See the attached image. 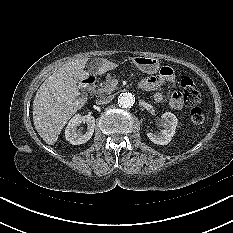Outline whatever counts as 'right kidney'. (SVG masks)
<instances>
[{"instance_id":"1","label":"right kidney","mask_w":233,"mask_h":233,"mask_svg":"<svg viewBox=\"0 0 233 233\" xmlns=\"http://www.w3.org/2000/svg\"><path fill=\"white\" fill-rule=\"evenodd\" d=\"M87 124V131L82 134L77 127L81 123ZM95 128V118L91 115L81 116L75 115L68 123L65 129V137L68 142L73 145H80L86 143L92 137Z\"/></svg>"}]
</instances>
